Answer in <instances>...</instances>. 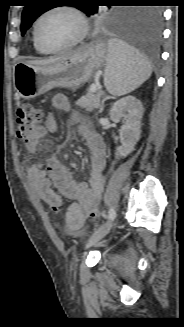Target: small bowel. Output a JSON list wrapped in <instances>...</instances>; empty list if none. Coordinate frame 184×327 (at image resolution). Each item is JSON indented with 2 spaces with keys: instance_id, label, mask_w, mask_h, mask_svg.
<instances>
[{
  "instance_id": "c3829d8e",
  "label": "small bowel",
  "mask_w": 184,
  "mask_h": 327,
  "mask_svg": "<svg viewBox=\"0 0 184 327\" xmlns=\"http://www.w3.org/2000/svg\"><path fill=\"white\" fill-rule=\"evenodd\" d=\"M52 106L68 111L70 103L66 96L55 95ZM74 122H78L76 118ZM80 133L90 150V175L87 182H78L72 178L69 170L56 156H50L45 165L34 164L27 171L28 183L35 195L47 205L56 203L60 208L63 198L72 203L66 210V224L71 230L81 228L90 212H97V201L104 186L103 170L106 165V146L97 132L87 123H81ZM57 130V120L50 113L37 132L25 141L26 149L34 153L39 147L40 140L46 134Z\"/></svg>"
}]
</instances>
